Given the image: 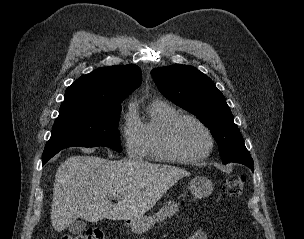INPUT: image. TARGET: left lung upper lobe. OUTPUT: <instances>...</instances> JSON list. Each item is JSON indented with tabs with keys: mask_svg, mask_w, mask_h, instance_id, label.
Returning <instances> with one entry per match:
<instances>
[{
	"mask_svg": "<svg viewBox=\"0 0 304 239\" xmlns=\"http://www.w3.org/2000/svg\"><path fill=\"white\" fill-rule=\"evenodd\" d=\"M151 75L162 95L199 117L211 130L224 164L237 162L254 169L225 97L208 76L181 64L155 68Z\"/></svg>",
	"mask_w": 304,
	"mask_h": 239,
	"instance_id": "left-lung-upper-lobe-1",
	"label": "left lung upper lobe"
}]
</instances>
